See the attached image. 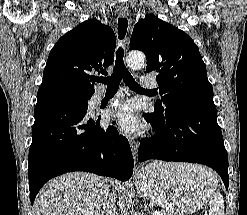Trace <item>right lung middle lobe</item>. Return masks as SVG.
Returning a JSON list of instances; mask_svg holds the SVG:
<instances>
[{
	"label": "right lung middle lobe",
	"mask_w": 247,
	"mask_h": 215,
	"mask_svg": "<svg viewBox=\"0 0 247 215\" xmlns=\"http://www.w3.org/2000/svg\"><path fill=\"white\" fill-rule=\"evenodd\" d=\"M47 91H49L53 95H56L65 100L77 103L84 107H88L87 101L91 98V96L89 95H83V94H80L74 91L61 89V88H50V89H47Z\"/></svg>",
	"instance_id": "1"
}]
</instances>
